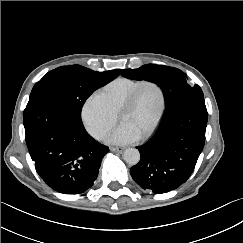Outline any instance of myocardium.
Returning a JSON list of instances; mask_svg holds the SVG:
<instances>
[{"mask_svg":"<svg viewBox=\"0 0 243 243\" xmlns=\"http://www.w3.org/2000/svg\"><path fill=\"white\" fill-rule=\"evenodd\" d=\"M148 84H152L158 89V91L160 93V97H161V106H160V111H159L153 125L145 133H143L140 136L142 138H146V137L150 136L151 134H153L155 132V130L158 128V126H159L160 122L162 121V118L165 114L166 105H167V98H166L165 90L162 87V85L155 80H143L133 89V91L130 93L128 98L122 104V106H121V108L118 112L119 113V119H120L122 114L131 110L136 103L139 91L141 90L142 87H144L145 85H148Z\"/></svg>","mask_w":243,"mask_h":243,"instance_id":"obj_1","label":"myocardium"}]
</instances>
